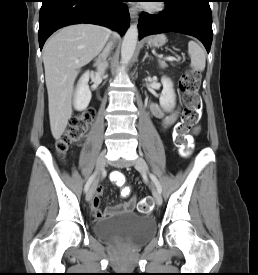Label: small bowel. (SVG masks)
I'll return each instance as SVG.
<instances>
[{"label": "small bowel", "mask_w": 258, "mask_h": 275, "mask_svg": "<svg viewBox=\"0 0 258 275\" xmlns=\"http://www.w3.org/2000/svg\"><path fill=\"white\" fill-rule=\"evenodd\" d=\"M151 112L154 117L161 121V127L163 130H167L177 120L178 110L172 112H166L160 105L152 104ZM104 187L102 185H95L94 192L91 198V212L96 218L111 217L118 212H129L135 204L136 198L132 197L129 201L120 203L116 206L108 207L105 211L100 210V197L103 194Z\"/></svg>", "instance_id": "1"}]
</instances>
